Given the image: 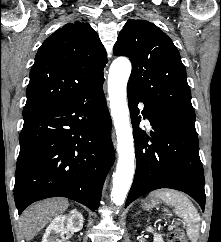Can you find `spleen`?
Returning <instances> with one entry per match:
<instances>
[{
    "label": "spleen",
    "mask_w": 221,
    "mask_h": 242,
    "mask_svg": "<svg viewBox=\"0 0 221 242\" xmlns=\"http://www.w3.org/2000/svg\"><path fill=\"white\" fill-rule=\"evenodd\" d=\"M151 196L162 199L167 205L175 207L176 215L180 216L187 223V235L192 242L199 238L200 216L187 196L179 191L163 189L154 191Z\"/></svg>",
    "instance_id": "spleen-1"
}]
</instances>
